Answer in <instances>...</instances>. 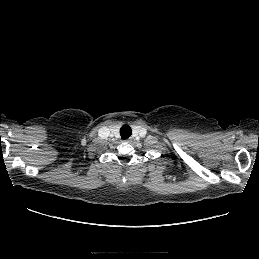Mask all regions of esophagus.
<instances>
[{
  "mask_svg": "<svg viewBox=\"0 0 259 259\" xmlns=\"http://www.w3.org/2000/svg\"><path fill=\"white\" fill-rule=\"evenodd\" d=\"M129 141H130V139H127V140H126V142H129Z\"/></svg>",
  "mask_w": 259,
  "mask_h": 259,
  "instance_id": "34e87169",
  "label": "esophagus"
}]
</instances>
